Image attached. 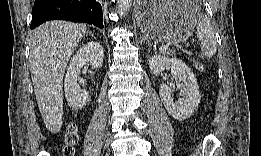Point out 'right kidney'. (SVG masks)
Masks as SVG:
<instances>
[{"label": "right kidney", "mask_w": 261, "mask_h": 156, "mask_svg": "<svg viewBox=\"0 0 261 156\" xmlns=\"http://www.w3.org/2000/svg\"><path fill=\"white\" fill-rule=\"evenodd\" d=\"M103 57V47L98 42H88L72 57L65 76L64 87L65 98L73 109L83 107L89 99V92L81 89L77 83L81 68L87 63L94 68H100L103 65Z\"/></svg>", "instance_id": "1"}]
</instances>
